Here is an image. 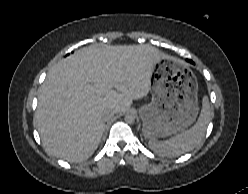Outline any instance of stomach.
Here are the masks:
<instances>
[{
    "mask_svg": "<svg viewBox=\"0 0 248 194\" xmlns=\"http://www.w3.org/2000/svg\"><path fill=\"white\" fill-rule=\"evenodd\" d=\"M156 64L152 101L139 110L142 131L148 139L184 131L199 111L198 85L192 70L180 60L165 55Z\"/></svg>",
    "mask_w": 248,
    "mask_h": 194,
    "instance_id": "1",
    "label": "stomach"
}]
</instances>
